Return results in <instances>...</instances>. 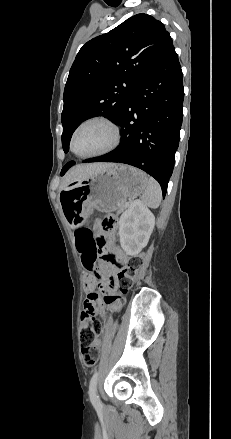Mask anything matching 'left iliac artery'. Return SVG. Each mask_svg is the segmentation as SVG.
Listing matches in <instances>:
<instances>
[{
  "label": "left iliac artery",
  "mask_w": 231,
  "mask_h": 439,
  "mask_svg": "<svg viewBox=\"0 0 231 439\" xmlns=\"http://www.w3.org/2000/svg\"><path fill=\"white\" fill-rule=\"evenodd\" d=\"M97 380H98V372H95L89 383V397L92 405L99 409L102 405L97 395Z\"/></svg>",
  "instance_id": "44dca946"
}]
</instances>
